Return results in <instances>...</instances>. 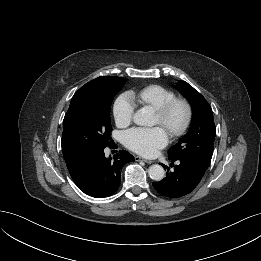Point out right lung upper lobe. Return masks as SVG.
Returning a JSON list of instances; mask_svg holds the SVG:
<instances>
[{
  "instance_id": "1",
  "label": "right lung upper lobe",
  "mask_w": 261,
  "mask_h": 261,
  "mask_svg": "<svg viewBox=\"0 0 261 261\" xmlns=\"http://www.w3.org/2000/svg\"><path fill=\"white\" fill-rule=\"evenodd\" d=\"M118 78L116 76H101L98 77L87 84H85L83 87H81L73 96L72 100L81 92L87 89L96 88V87H102L111 84L115 81V79ZM71 100V101H72Z\"/></svg>"
}]
</instances>
